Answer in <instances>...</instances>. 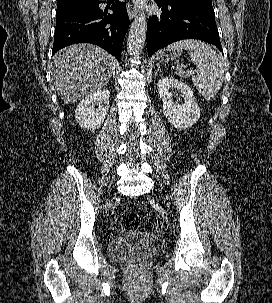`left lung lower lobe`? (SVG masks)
<instances>
[{"instance_id":"1","label":"left lung lower lobe","mask_w":272,"mask_h":303,"mask_svg":"<svg viewBox=\"0 0 272 303\" xmlns=\"http://www.w3.org/2000/svg\"><path fill=\"white\" fill-rule=\"evenodd\" d=\"M162 13L147 23V51L150 57L157 50L182 39H200L222 50L212 6L164 5L155 0Z\"/></svg>"}]
</instances>
